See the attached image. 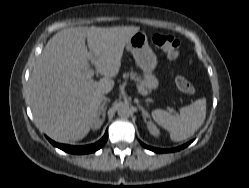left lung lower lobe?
I'll return each instance as SVG.
<instances>
[{"mask_svg":"<svg viewBox=\"0 0 249 188\" xmlns=\"http://www.w3.org/2000/svg\"><path fill=\"white\" fill-rule=\"evenodd\" d=\"M189 144H190V142L187 143V144H185V145H183V146H180V147H178V148H173V149H168V150H162V149H157V148L149 147V146H147V145H145V144H143V143L141 142V145H142L143 147H145V148H147V149H149V150H152V151H154V152H156V153L179 151V150L185 148L186 146H188Z\"/></svg>","mask_w":249,"mask_h":188,"instance_id":"0a47b994","label":"left lung lower lobe"}]
</instances>
